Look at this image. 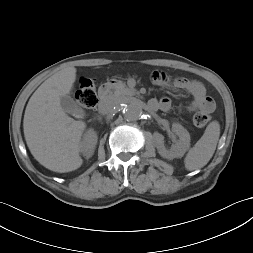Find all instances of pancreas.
Instances as JSON below:
<instances>
[{"label":"pancreas","instance_id":"cf45deb5","mask_svg":"<svg viewBox=\"0 0 253 253\" xmlns=\"http://www.w3.org/2000/svg\"><path fill=\"white\" fill-rule=\"evenodd\" d=\"M134 92L132 89L128 88L125 83L122 81H118L114 85V96L121 97V96H128L133 95Z\"/></svg>","mask_w":253,"mask_h":253}]
</instances>
